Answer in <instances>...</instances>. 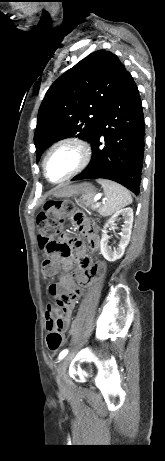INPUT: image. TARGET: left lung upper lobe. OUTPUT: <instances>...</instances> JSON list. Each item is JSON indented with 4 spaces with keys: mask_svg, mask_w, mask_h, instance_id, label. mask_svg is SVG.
Instances as JSON below:
<instances>
[{
    "mask_svg": "<svg viewBox=\"0 0 165 461\" xmlns=\"http://www.w3.org/2000/svg\"><path fill=\"white\" fill-rule=\"evenodd\" d=\"M126 74L115 54L100 50L61 75L48 89L38 112L36 161L60 139L76 136L90 142Z\"/></svg>",
    "mask_w": 165,
    "mask_h": 461,
    "instance_id": "left-lung-upper-lobe-1",
    "label": "left lung upper lobe"
}]
</instances>
